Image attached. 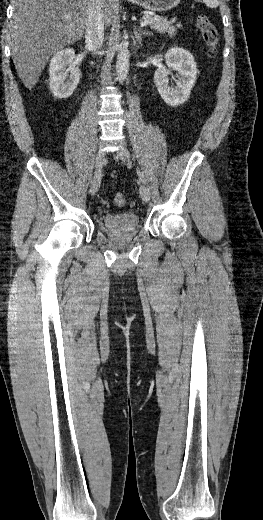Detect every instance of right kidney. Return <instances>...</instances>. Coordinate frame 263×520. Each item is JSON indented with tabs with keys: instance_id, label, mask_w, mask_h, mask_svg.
Here are the masks:
<instances>
[{
	"instance_id": "1",
	"label": "right kidney",
	"mask_w": 263,
	"mask_h": 520,
	"mask_svg": "<svg viewBox=\"0 0 263 520\" xmlns=\"http://www.w3.org/2000/svg\"><path fill=\"white\" fill-rule=\"evenodd\" d=\"M74 58L73 49H63L56 52L50 61V90L58 99L70 97L79 83L81 74Z\"/></svg>"
}]
</instances>
